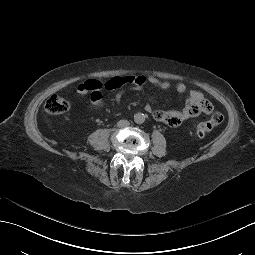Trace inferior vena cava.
I'll return each mask as SVG.
<instances>
[{
  "label": "inferior vena cava",
  "mask_w": 255,
  "mask_h": 255,
  "mask_svg": "<svg viewBox=\"0 0 255 255\" xmlns=\"http://www.w3.org/2000/svg\"><path fill=\"white\" fill-rule=\"evenodd\" d=\"M129 121L128 120H120V121H118V123H117V126L118 127H126V126H129Z\"/></svg>",
  "instance_id": "1"
}]
</instances>
